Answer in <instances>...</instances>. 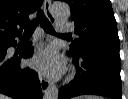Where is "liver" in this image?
<instances>
[{"mask_svg": "<svg viewBox=\"0 0 128 99\" xmlns=\"http://www.w3.org/2000/svg\"><path fill=\"white\" fill-rule=\"evenodd\" d=\"M0 99H9L7 96L0 94Z\"/></svg>", "mask_w": 128, "mask_h": 99, "instance_id": "obj_1", "label": "liver"}]
</instances>
